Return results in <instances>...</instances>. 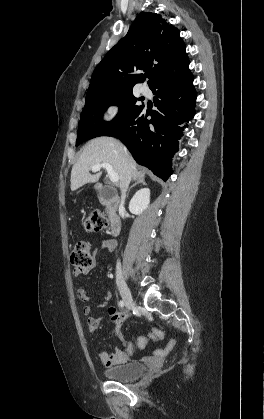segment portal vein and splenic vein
<instances>
[{
  "label": "portal vein and splenic vein",
  "mask_w": 264,
  "mask_h": 419,
  "mask_svg": "<svg viewBox=\"0 0 264 419\" xmlns=\"http://www.w3.org/2000/svg\"><path fill=\"white\" fill-rule=\"evenodd\" d=\"M101 168H105L106 169V171H107V173H108V175H109V178H110V181L112 182V183H118V181H119V176H118V174L113 170V167L109 164V163H99V164H96V165H94L92 168H91V170H92V172H97V171H99Z\"/></svg>",
  "instance_id": "1"
}]
</instances>
